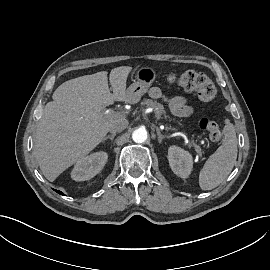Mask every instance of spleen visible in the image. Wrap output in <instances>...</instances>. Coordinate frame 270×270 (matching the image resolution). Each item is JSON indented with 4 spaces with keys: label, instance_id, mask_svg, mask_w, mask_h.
I'll list each match as a JSON object with an SVG mask.
<instances>
[{
    "label": "spleen",
    "instance_id": "obj_1",
    "mask_svg": "<svg viewBox=\"0 0 270 270\" xmlns=\"http://www.w3.org/2000/svg\"><path fill=\"white\" fill-rule=\"evenodd\" d=\"M222 145L207 159L199 173V186L202 190H212L226 180L237 159V137L234 126L224 127Z\"/></svg>",
    "mask_w": 270,
    "mask_h": 270
}]
</instances>
